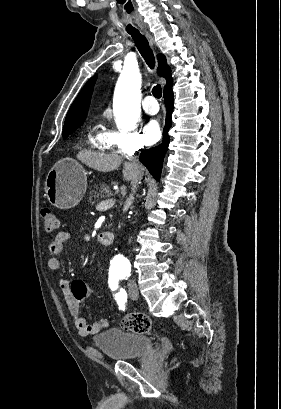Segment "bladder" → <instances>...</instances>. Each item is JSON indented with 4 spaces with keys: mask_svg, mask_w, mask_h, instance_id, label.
Listing matches in <instances>:
<instances>
[{
    "mask_svg": "<svg viewBox=\"0 0 281 409\" xmlns=\"http://www.w3.org/2000/svg\"><path fill=\"white\" fill-rule=\"evenodd\" d=\"M94 347L107 359L129 362L139 355H155L152 339L143 334L112 327L93 337Z\"/></svg>",
    "mask_w": 281,
    "mask_h": 409,
    "instance_id": "obj_1",
    "label": "bladder"
}]
</instances>
